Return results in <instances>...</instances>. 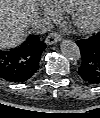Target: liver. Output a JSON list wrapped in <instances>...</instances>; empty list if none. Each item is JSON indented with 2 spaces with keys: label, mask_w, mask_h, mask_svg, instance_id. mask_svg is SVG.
Listing matches in <instances>:
<instances>
[{
  "label": "liver",
  "mask_w": 100,
  "mask_h": 118,
  "mask_svg": "<svg viewBox=\"0 0 100 118\" xmlns=\"http://www.w3.org/2000/svg\"><path fill=\"white\" fill-rule=\"evenodd\" d=\"M37 0H0V46L14 48L26 37L31 22L38 17Z\"/></svg>",
  "instance_id": "obj_1"
}]
</instances>
